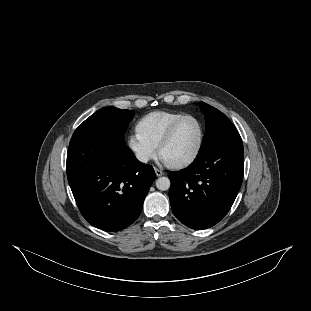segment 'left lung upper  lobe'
Returning a JSON list of instances; mask_svg holds the SVG:
<instances>
[{
  "mask_svg": "<svg viewBox=\"0 0 311 311\" xmlns=\"http://www.w3.org/2000/svg\"><path fill=\"white\" fill-rule=\"evenodd\" d=\"M202 112L206 119V132L197 157L233 141H241V137L231 121L216 108L201 102Z\"/></svg>",
  "mask_w": 311,
  "mask_h": 311,
  "instance_id": "obj_1",
  "label": "left lung upper lobe"
}]
</instances>
